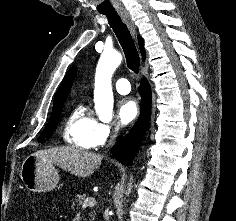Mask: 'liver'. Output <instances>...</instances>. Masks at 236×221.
Here are the masks:
<instances>
[{"label":"liver","instance_id":"liver-1","mask_svg":"<svg viewBox=\"0 0 236 221\" xmlns=\"http://www.w3.org/2000/svg\"><path fill=\"white\" fill-rule=\"evenodd\" d=\"M37 156L53 163L78 177L90 176L97 169L103 156L71 146L40 150Z\"/></svg>","mask_w":236,"mask_h":221}]
</instances>
